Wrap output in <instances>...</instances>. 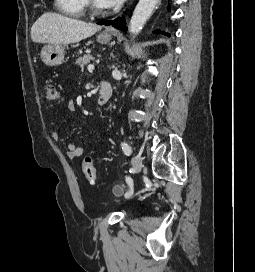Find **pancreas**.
Masks as SVG:
<instances>
[{
	"mask_svg": "<svg viewBox=\"0 0 255 272\" xmlns=\"http://www.w3.org/2000/svg\"><path fill=\"white\" fill-rule=\"evenodd\" d=\"M93 60H94V57L90 53H88V54H85L82 57H79L76 60L75 64L78 65V66H80L81 68H83L84 65L90 63Z\"/></svg>",
	"mask_w": 255,
	"mask_h": 272,
	"instance_id": "cf45deb5",
	"label": "pancreas"
}]
</instances>
